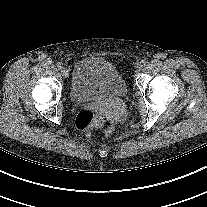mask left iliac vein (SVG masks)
Wrapping results in <instances>:
<instances>
[{"label":"left iliac vein","mask_w":207,"mask_h":207,"mask_svg":"<svg viewBox=\"0 0 207 207\" xmlns=\"http://www.w3.org/2000/svg\"><path fill=\"white\" fill-rule=\"evenodd\" d=\"M142 68H143L142 63L141 62L137 63L136 70L141 71Z\"/></svg>","instance_id":"obj_1"}]
</instances>
